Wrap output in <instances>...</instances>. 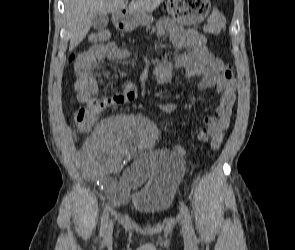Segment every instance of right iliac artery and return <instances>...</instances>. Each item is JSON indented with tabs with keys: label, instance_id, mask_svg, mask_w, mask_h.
Returning a JSON list of instances; mask_svg holds the SVG:
<instances>
[{
	"label": "right iliac artery",
	"instance_id": "82829eb1",
	"mask_svg": "<svg viewBox=\"0 0 295 250\" xmlns=\"http://www.w3.org/2000/svg\"><path fill=\"white\" fill-rule=\"evenodd\" d=\"M109 210H110V207L109 205H107L106 208L104 209L103 216H102L100 236H103L105 233V229L108 224Z\"/></svg>",
	"mask_w": 295,
	"mask_h": 250
}]
</instances>
